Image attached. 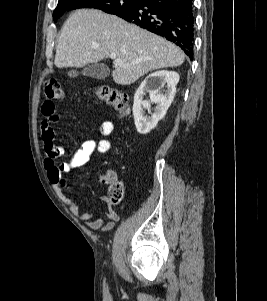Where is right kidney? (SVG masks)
<instances>
[{
    "instance_id": "ca27d5eb",
    "label": "right kidney",
    "mask_w": 267,
    "mask_h": 301,
    "mask_svg": "<svg viewBox=\"0 0 267 301\" xmlns=\"http://www.w3.org/2000/svg\"><path fill=\"white\" fill-rule=\"evenodd\" d=\"M179 81V74L174 71H157L150 74L139 86L133 103V116L137 132L140 134L149 133L161 120L171 105L176 85ZM166 85L165 93L160 90ZM149 93L151 102L156 104L154 113L145 116L143 109L150 108V102L144 100V95Z\"/></svg>"
}]
</instances>
